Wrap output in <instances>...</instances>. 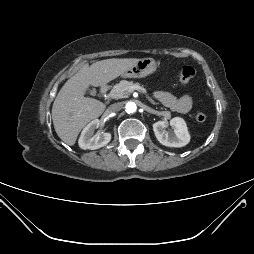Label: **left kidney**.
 <instances>
[{"label": "left kidney", "mask_w": 254, "mask_h": 254, "mask_svg": "<svg viewBox=\"0 0 254 254\" xmlns=\"http://www.w3.org/2000/svg\"><path fill=\"white\" fill-rule=\"evenodd\" d=\"M170 125L173 127V132H166L168 123L158 121L153 124V131L157 140L167 147H183L190 141V135L185 121L180 117H174L170 120Z\"/></svg>", "instance_id": "1"}]
</instances>
